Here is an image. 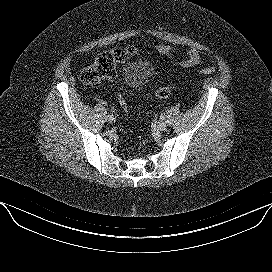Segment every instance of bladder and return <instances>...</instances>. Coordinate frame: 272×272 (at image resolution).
<instances>
[{"label": "bladder", "mask_w": 272, "mask_h": 272, "mask_svg": "<svg viewBox=\"0 0 272 272\" xmlns=\"http://www.w3.org/2000/svg\"><path fill=\"white\" fill-rule=\"evenodd\" d=\"M151 76L152 67L144 60L132 61L122 71V78L125 85L132 90H138L145 86Z\"/></svg>", "instance_id": "1"}]
</instances>
